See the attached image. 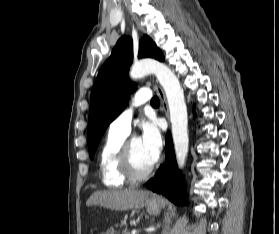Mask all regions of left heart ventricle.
Wrapping results in <instances>:
<instances>
[{"mask_svg":"<svg viewBox=\"0 0 279 234\" xmlns=\"http://www.w3.org/2000/svg\"><path fill=\"white\" fill-rule=\"evenodd\" d=\"M133 161L137 169L144 170L154 162V159L144 149L139 138L131 139Z\"/></svg>","mask_w":279,"mask_h":234,"instance_id":"1","label":"left heart ventricle"}]
</instances>
